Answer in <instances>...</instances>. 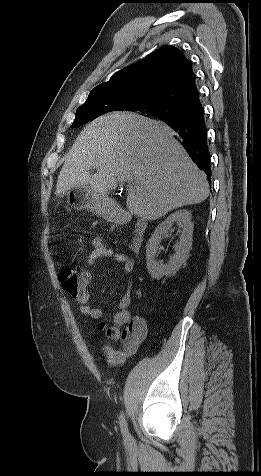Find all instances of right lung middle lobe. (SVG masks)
Segmentation results:
<instances>
[{
  "label": "right lung middle lobe",
  "instance_id": "obj_1",
  "mask_svg": "<svg viewBox=\"0 0 261 476\" xmlns=\"http://www.w3.org/2000/svg\"><path fill=\"white\" fill-rule=\"evenodd\" d=\"M120 110V106L111 99H103L85 103L78 108L72 127L81 126L102 114ZM134 112H138L149 117H154L164 122L173 118H177V116H179L183 110L164 104H152L145 105L138 111Z\"/></svg>",
  "mask_w": 261,
  "mask_h": 476
}]
</instances>
